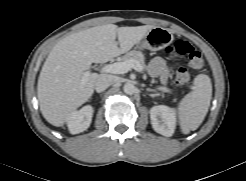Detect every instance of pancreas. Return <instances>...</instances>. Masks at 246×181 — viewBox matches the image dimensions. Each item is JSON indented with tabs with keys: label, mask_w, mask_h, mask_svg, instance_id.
Listing matches in <instances>:
<instances>
[{
	"label": "pancreas",
	"mask_w": 246,
	"mask_h": 181,
	"mask_svg": "<svg viewBox=\"0 0 246 181\" xmlns=\"http://www.w3.org/2000/svg\"><path fill=\"white\" fill-rule=\"evenodd\" d=\"M122 61L134 60L142 66L144 65L145 57L141 51L133 50L122 56Z\"/></svg>",
	"instance_id": "1"
}]
</instances>
